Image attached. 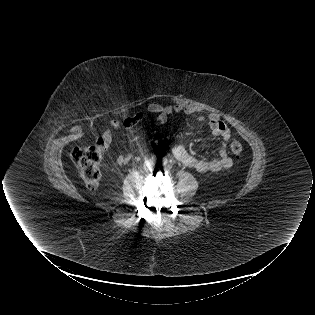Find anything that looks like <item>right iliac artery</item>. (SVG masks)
<instances>
[{
    "mask_svg": "<svg viewBox=\"0 0 315 315\" xmlns=\"http://www.w3.org/2000/svg\"><path fill=\"white\" fill-rule=\"evenodd\" d=\"M152 160H153V161H158L159 158H158L157 156H152Z\"/></svg>",
    "mask_w": 315,
    "mask_h": 315,
    "instance_id": "82829eb1",
    "label": "right iliac artery"
}]
</instances>
